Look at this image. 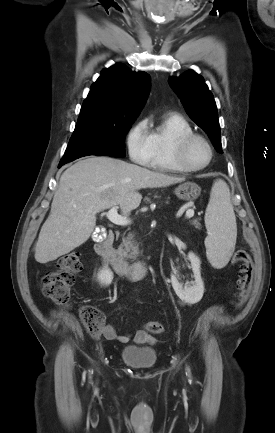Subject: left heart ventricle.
<instances>
[{"instance_id": "left-heart-ventricle-1", "label": "left heart ventricle", "mask_w": 275, "mask_h": 433, "mask_svg": "<svg viewBox=\"0 0 275 433\" xmlns=\"http://www.w3.org/2000/svg\"><path fill=\"white\" fill-rule=\"evenodd\" d=\"M209 158V150L202 141H194L187 150V159L193 165H202Z\"/></svg>"}]
</instances>
